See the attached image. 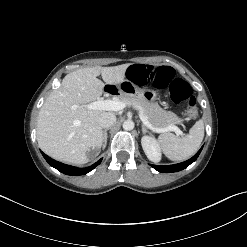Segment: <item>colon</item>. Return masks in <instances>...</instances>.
Returning a JSON list of instances; mask_svg holds the SVG:
<instances>
[{
    "label": "colon",
    "mask_w": 247,
    "mask_h": 247,
    "mask_svg": "<svg viewBox=\"0 0 247 247\" xmlns=\"http://www.w3.org/2000/svg\"><path fill=\"white\" fill-rule=\"evenodd\" d=\"M128 76L138 85L150 83L157 88H167L174 103H184L185 115L188 118H195L198 115L196 99L190 85L175 77L171 67L136 64L129 67Z\"/></svg>",
    "instance_id": "obj_1"
}]
</instances>
